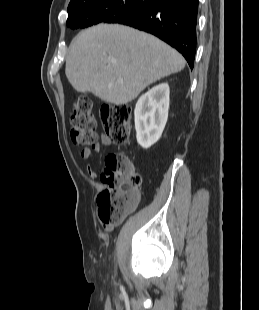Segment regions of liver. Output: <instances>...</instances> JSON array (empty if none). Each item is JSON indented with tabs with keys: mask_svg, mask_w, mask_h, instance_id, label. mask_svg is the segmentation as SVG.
Segmentation results:
<instances>
[{
	"mask_svg": "<svg viewBox=\"0 0 259 310\" xmlns=\"http://www.w3.org/2000/svg\"><path fill=\"white\" fill-rule=\"evenodd\" d=\"M185 64L180 53L153 35L119 24H100L73 39L65 74L77 92L123 105Z\"/></svg>",
	"mask_w": 259,
	"mask_h": 310,
	"instance_id": "liver-1",
	"label": "liver"
}]
</instances>
